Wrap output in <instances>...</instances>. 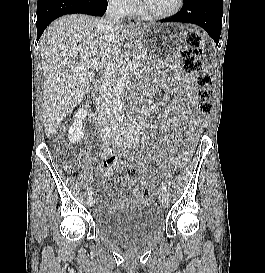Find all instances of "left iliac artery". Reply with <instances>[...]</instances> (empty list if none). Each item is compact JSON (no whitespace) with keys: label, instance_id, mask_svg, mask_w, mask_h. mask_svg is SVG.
<instances>
[{"label":"left iliac artery","instance_id":"44dca946","mask_svg":"<svg viewBox=\"0 0 265 273\" xmlns=\"http://www.w3.org/2000/svg\"><path fill=\"white\" fill-rule=\"evenodd\" d=\"M125 125H127L128 129L130 130V132H132L135 135H139L140 134V129L139 127H136L133 124L130 123H125ZM161 189L163 192H167V186L164 182L161 183Z\"/></svg>","mask_w":265,"mask_h":273}]
</instances>
